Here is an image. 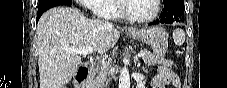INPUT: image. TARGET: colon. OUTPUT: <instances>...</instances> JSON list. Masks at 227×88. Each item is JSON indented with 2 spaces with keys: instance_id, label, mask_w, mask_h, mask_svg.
<instances>
[{
  "instance_id": "colon-1",
  "label": "colon",
  "mask_w": 227,
  "mask_h": 88,
  "mask_svg": "<svg viewBox=\"0 0 227 88\" xmlns=\"http://www.w3.org/2000/svg\"><path fill=\"white\" fill-rule=\"evenodd\" d=\"M174 87H180V85L179 84H175Z\"/></svg>"
}]
</instances>
